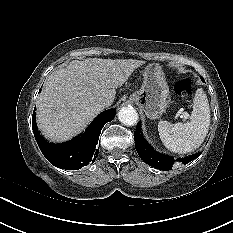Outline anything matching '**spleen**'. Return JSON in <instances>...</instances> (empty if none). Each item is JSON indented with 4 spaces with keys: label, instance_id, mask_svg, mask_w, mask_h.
<instances>
[{
    "label": "spleen",
    "instance_id": "spleen-1",
    "mask_svg": "<svg viewBox=\"0 0 233 233\" xmlns=\"http://www.w3.org/2000/svg\"><path fill=\"white\" fill-rule=\"evenodd\" d=\"M210 126V108L206 94L196 91L190 121L172 124L165 120L158 123L159 136L167 149L175 153H188L203 143Z\"/></svg>",
    "mask_w": 233,
    "mask_h": 233
}]
</instances>
